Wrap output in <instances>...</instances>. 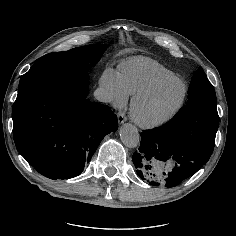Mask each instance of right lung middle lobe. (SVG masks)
<instances>
[{
	"mask_svg": "<svg viewBox=\"0 0 236 236\" xmlns=\"http://www.w3.org/2000/svg\"><path fill=\"white\" fill-rule=\"evenodd\" d=\"M105 44H92L39 58L19 82L18 95L28 88L87 72L106 50Z\"/></svg>",
	"mask_w": 236,
	"mask_h": 236,
	"instance_id": "dd1d6c3e",
	"label": "right lung middle lobe"
}]
</instances>
